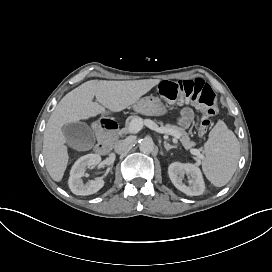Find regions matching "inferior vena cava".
<instances>
[{
  "label": "inferior vena cava",
  "mask_w": 272,
  "mask_h": 272,
  "mask_svg": "<svg viewBox=\"0 0 272 272\" xmlns=\"http://www.w3.org/2000/svg\"><path fill=\"white\" fill-rule=\"evenodd\" d=\"M128 143L125 140H120L115 144V152L122 154L128 150Z\"/></svg>",
  "instance_id": "602c4592"
}]
</instances>
